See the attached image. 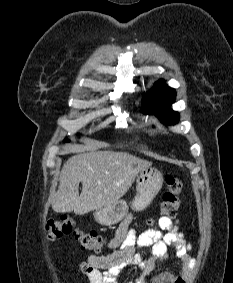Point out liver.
Returning <instances> with one entry per match:
<instances>
[{"instance_id":"liver-1","label":"liver","mask_w":233,"mask_h":283,"mask_svg":"<svg viewBox=\"0 0 233 283\" xmlns=\"http://www.w3.org/2000/svg\"><path fill=\"white\" fill-rule=\"evenodd\" d=\"M151 165L126 152L89 151L69 158L60 173L57 192L49 198L58 213L83 215L119 201L138 173ZM82 192L79 195V183Z\"/></svg>"}]
</instances>
